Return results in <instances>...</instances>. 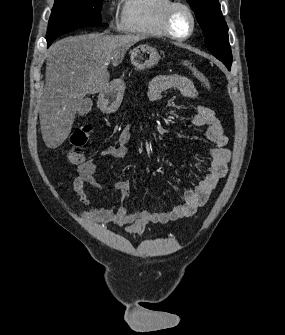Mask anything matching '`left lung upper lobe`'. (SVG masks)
I'll return each mask as SVG.
<instances>
[{
	"label": "left lung upper lobe",
	"instance_id": "obj_1",
	"mask_svg": "<svg viewBox=\"0 0 285 335\" xmlns=\"http://www.w3.org/2000/svg\"><path fill=\"white\" fill-rule=\"evenodd\" d=\"M202 28L210 52L230 70L232 54L228 39V27L223 19L218 0H187Z\"/></svg>",
	"mask_w": 285,
	"mask_h": 335
}]
</instances>
